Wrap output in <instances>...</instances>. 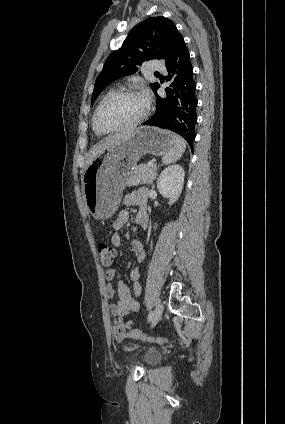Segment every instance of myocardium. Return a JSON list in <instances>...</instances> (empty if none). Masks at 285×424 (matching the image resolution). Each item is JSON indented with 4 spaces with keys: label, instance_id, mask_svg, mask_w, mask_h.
I'll use <instances>...</instances> for the list:
<instances>
[{
    "label": "myocardium",
    "instance_id": "obj_1",
    "mask_svg": "<svg viewBox=\"0 0 285 424\" xmlns=\"http://www.w3.org/2000/svg\"><path fill=\"white\" fill-rule=\"evenodd\" d=\"M129 94H138V95H142V93L137 89V88H123L117 91H113L111 94H109L108 96H106L97 106V108L94 111L93 117H92V125L93 128L95 129L96 132L100 133V134H108V133H114V132H119V131H123V130H127L130 129L134 126H137L138 124H140L141 122H143L147 116L150 113V103L149 101L146 99V108L145 111L135 120L128 122L126 124L117 126V127H112V128H101L98 124V115L101 111V109L112 99L119 97V96H123V95H129Z\"/></svg>",
    "mask_w": 285,
    "mask_h": 424
}]
</instances>
